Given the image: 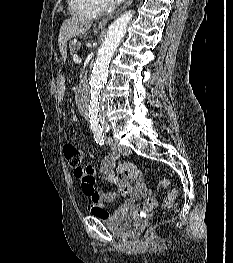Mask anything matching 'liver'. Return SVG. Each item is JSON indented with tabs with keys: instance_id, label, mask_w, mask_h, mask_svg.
Wrapping results in <instances>:
<instances>
[{
	"instance_id": "1",
	"label": "liver",
	"mask_w": 233,
	"mask_h": 263,
	"mask_svg": "<svg viewBox=\"0 0 233 263\" xmlns=\"http://www.w3.org/2000/svg\"><path fill=\"white\" fill-rule=\"evenodd\" d=\"M91 26V21L78 17H72L63 22L59 33L58 46L64 62L67 58V41L87 31Z\"/></svg>"
}]
</instances>
